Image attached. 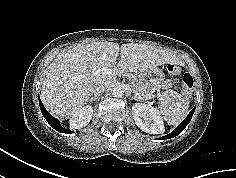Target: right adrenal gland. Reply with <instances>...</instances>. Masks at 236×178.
<instances>
[{"label": "right adrenal gland", "mask_w": 236, "mask_h": 178, "mask_svg": "<svg viewBox=\"0 0 236 178\" xmlns=\"http://www.w3.org/2000/svg\"><path fill=\"white\" fill-rule=\"evenodd\" d=\"M98 99V97H91L89 98V101L92 102V101H96Z\"/></svg>", "instance_id": "2a0ac1e0"}]
</instances>
